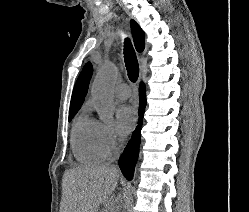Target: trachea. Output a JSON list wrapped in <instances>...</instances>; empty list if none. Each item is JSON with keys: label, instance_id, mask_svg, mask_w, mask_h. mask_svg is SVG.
<instances>
[{"label": "trachea", "instance_id": "obj_1", "mask_svg": "<svg viewBox=\"0 0 249 212\" xmlns=\"http://www.w3.org/2000/svg\"><path fill=\"white\" fill-rule=\"evenodd\" d=\"M124 58H125V65L128 71V77L131 80V82H136L139 75V65L135 51L129 39L125 40Z\"/></svg>", "mask_w": 249, "mask_h": 212}]
</instances>
